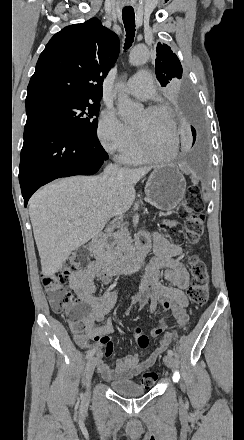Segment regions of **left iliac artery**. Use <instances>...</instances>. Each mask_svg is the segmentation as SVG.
<instances>
[{"instance_id": "left-iliac-artery-1", "label": "left iliac artery", "mask_w": 244, "mask_h": 440, "mask_svg": "<svg viewBox=\"0 0 244 440\" xmlns=\"http://www.w3.org/2000/svg\"><path fill=\"white\" fill-rule=\"evenodd\" d=\"M167 354L170 355V356H173L174 352H173L171 349H169V350L167 351Z\"/></svg>"}]
</instances>
